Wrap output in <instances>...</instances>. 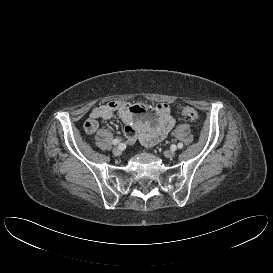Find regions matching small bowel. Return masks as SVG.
<instances>
[{
	"mask_svg": "<svg viewBox=\"0 0 273 273\" xmlns=\"http://www.w3.org/2000/svg\"><path fill=\"white\" fill-rule=\"evenodd\" d=\"M118 117L125 124V136L129 143L137 139L147 147L162 141L175 125V117L166 103L154 107L122 101H109L95 107L84 124L86 134L98 128L99 119Z\"/></svg>",
	"mask_w": 273,
	"mask_h": 273,
	"instance_id": "small-bowel-1",
	"label": "small bowel"
}]
</instances>
